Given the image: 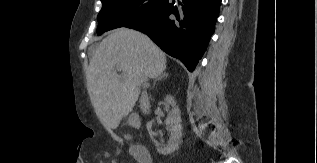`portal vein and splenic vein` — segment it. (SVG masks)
I'll return each mask as SVG.
<instances>
[{"mask_svg":"<svg viewBox=\"0 0 317 163\" xmlns=\"http://www.w3.org/2000/svg\"><path fill=\"white\" fill-rule=\"evenodd\" d=\"M116 68H117V70H118V71H120V70H121V68H120L119 66H116Z\"/></svg>","mask_w":317,"mask_h":163,"instance_id":"obj_1","label":"portal vein and splenic vein"}]
</instances>
